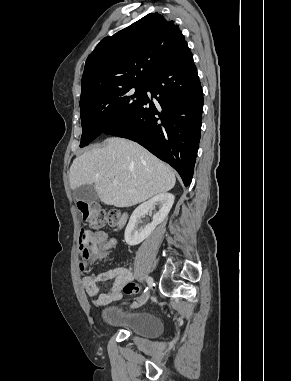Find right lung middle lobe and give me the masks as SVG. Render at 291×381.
Instances as JSON below:
<instances>
[{"mask_svg":"<svg viewBox=\"0 0 291 381\" xmlns=\"http://www.w3.org/2000/svg\"><path fill=\"white\" fill-rule=\"evenodd\" d=\"M145 95L146 83H135L108 89L80 104V147L88 145L105 130L133 114Z\"/></svg>","mask_w":291,"mask_h":381,"instance_id":"dd1d6c3e","label":"right lung middle lobe"}]
</instances>
